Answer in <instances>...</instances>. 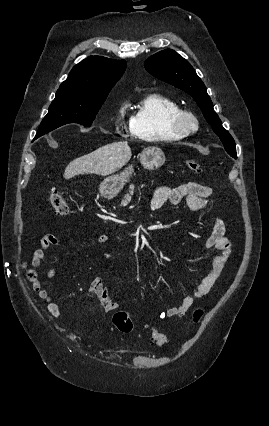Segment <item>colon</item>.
Masks as SVG:
<instances>
[{
  "instance_id": "1",
  "label": "colon",
  "mask_w": 269,
  "mask_h": 426,
  "mask_svg": "<svg viewBox=\"0 0 269 426\" xmlns=\"http://www.w3.org/2000/svg\"><path fill=\"white\" fill-rule=\"evenodd\" d=\"M186 165L194 172H199L201 168L200 163L194 159L187 160ZM49 202L55 214L59 216H66L69 214L70 209L67 198L60 191L53 190L50 194ZM26 273L27 278L31 281L36 278V274L33 270L28 269ZM202 314L203 312L201 309L196 310L193 316L194 321H199ZM113 324L120 332H131L133 329V321L126 311L121 310L115 312L113 315ZM150 341L153 345L162 346L167 342V338L163 333L159 331H153L151 333Z\"/></svg>"
}]
</instances>
